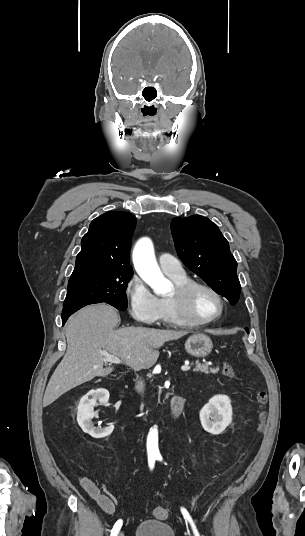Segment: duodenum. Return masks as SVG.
<instances>
[{
  "label": "duodenum",
  "instance_id": "obj_1",
  "mask_svg": "<svg viewBox=\"0 0 305 536\" xmlns=\"http://www.w3.org/2000/svg\"><path fill=\"white\" fill-rule=\"evenodd\" d=\"M182 410L183 400L181 397L176 396L171 402L170 413L168 417L169 421H174L175 419H177L182 413Z\"/></svg>",
  "mask_w": 305,
  "mask_h": 536
}]
</instances>
